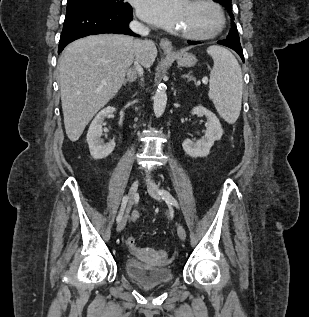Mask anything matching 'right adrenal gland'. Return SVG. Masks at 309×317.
I'll list each match as a JSON object with an SVG mask.
<instances>
[{
  "label": "right adrenal gland",
  "mask_w": 309,
  "mask_h": 317,
  "mask_svg": "<svg viewBox=\"0 0 309 317\" xmlns=\"http://www.w3.org/2000/svg\"><path fill=\"white\" fill-rule=\"evenodd\" d=\"M126 78L124 79L123 81V85H126L128 82L129 83H133L136 78H137V74L135 72L134 69L130 68L128 71H127V74H126Z\"/></svg>",
  "instance_id": "obj_1"
}]
</instances>
